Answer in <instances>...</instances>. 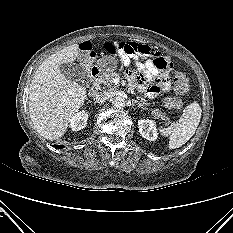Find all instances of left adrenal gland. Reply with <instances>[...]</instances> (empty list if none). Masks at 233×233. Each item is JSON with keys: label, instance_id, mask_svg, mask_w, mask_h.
I'll list each match as a JSON object with an SVG mask.
<instances>
[{"label": "left adrenal gland", "instance_id": "a2214340", "mask_svg": "<svg viewBox=\"0 0 233 233\" xmlns=\"http://www.w3.org/2000/svg\"><path fill=\"white\" fill-rule=\"evenodd\" d=\"M132 103H133V104H138V105H139L138 101H136V100H134V99L132 100ZM139 106H140V105H139Z\"/></svg>", "mask_w": 233, "mask_h": 233}]
</instances>
